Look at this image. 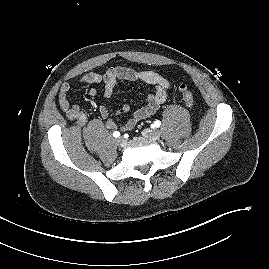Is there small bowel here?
Here are the masks:
<instances>
[{"instance_id":"c3829d8e","label":"small bowel","mask_w":269,"mask_h":269,"mask_svg":"<svg viewBox=\"0 0 269 269\" xmlns=\"http://www.w3.org/2000/svg\"><path fill=\"white\" fill-rule=\"evenodd\" d=\"M119 81L138 82L146 86H152L154 92L147 97L145 105L137 109L121 126H119L113 119V113L106 106L101 105L98 109L100 117L105 121L106 127L110 130L120 128L123 131H129L133 129L139 121L152 116L158 110V108L165 102L167 93L171 89L170 82L160 74L153 71L139 70L125 66L112 67L107 69L104 73L90 72L81 78L80 83L102 84L104 87V96L110 98ZM70 90V83L64 82L61 85L58 97L59 106L69 120L75 121L78 126L83 127L87 122V116L79 106L70 103L68 96ZM89 94L91 96H96L97 89L91 88ZM128 111L129 107L123 105L116 114L126 113Z\"/></svg>"}]
</instances>
